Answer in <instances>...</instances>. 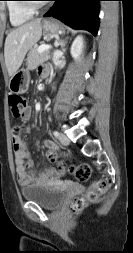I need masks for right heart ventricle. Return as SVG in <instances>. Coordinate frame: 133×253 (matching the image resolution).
Wrapping results in <instances>:
<instances>
[{
	"label": "right heart ventricle",
	"instance_id": "obj_1",
	"mask_svg": "<svg viewBox=\"0 0 133 253\" xmlns=\"http://www.w3.org/2000/svg\"><path fill=\"white\" fill-rule=\"evenodd\" d=\"M7 10L10 23L13 26L23 25L34 15V12L26 9L19 0H10L7 3Z\"/></svg>",
	"mask_w": 133,
	"mask_h": 253
}]
</instances>
